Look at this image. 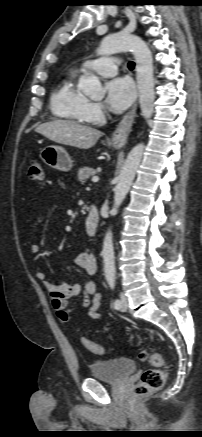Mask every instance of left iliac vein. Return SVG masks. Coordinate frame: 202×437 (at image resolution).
I'll return each mask as SVG.
<instances>
[{
	"mask_svg": "<svg viewBox=\"0 0 202 437\" xmlns=\"http://www.w3.org/2000/svg\"><path fill=\"white\" fill-rule=\"evenodd\" d=\"M128 306V299L124 293L120 294V310L126 311Z\"/></svg>",
	"mask_w": 202,
	"mask_h": 437,
	"instance_id": "obj_1",
	"label": "left iliac vein"
}]
</instances>
